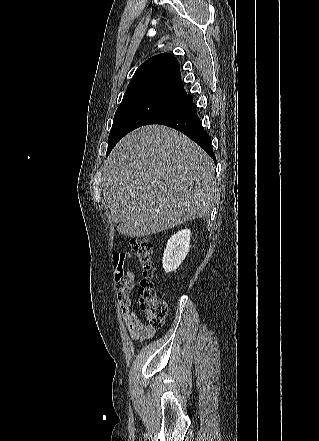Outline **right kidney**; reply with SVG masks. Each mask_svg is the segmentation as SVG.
<instances>
[{
    "mask_svg": "<svg viewBox=\"0 0 319 441\" xmlns=\"http://www.w3.org/2000/svg\"><path fill=\"white\" fill-rule=\"evenodd\" d=\"M190 229H182L169 238L163 254V268L166 273L176 271L190 248Z\"/></svg>",
    "mask_w": 319,
    "mask_h": 441,
    "instance_id": "right-kidney-1",
    "label": "right kidney"
}]
</instances>
